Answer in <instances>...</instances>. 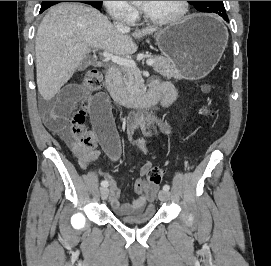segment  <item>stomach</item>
Returning <instances> with one entry per match:
<instances>
[{
  "mask_svg": "<svg viewBox=\"0 0 271 266\" xmlns=\"http://www.w3.org/2000/svg\"><path fill=\"white\" fill-rule=\"evenodd\" d=\"M160 51L172 60L178 78L198 80L219 62L228 42L222 22L211 15H192L155 35Z\"/></svg>",
  "mask_w": 271,
  "mask_h": 266,
  "instance_id": "stomach-1",
  "label": "stomach"
}]
</instances>
